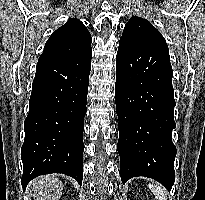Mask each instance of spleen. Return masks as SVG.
Returning a JSON list of instances; mask_svg holds the SVG:
<instances>
[{"instance_id": "spleen-1", "label": "spleen", "mask_w": 205, "mask_h": 200, "mask_svg": "<svg viewBox=\"0 0 205 200\" xmlns=\"http://www.w3.org/2000/svg\"><path fill=\"white\" fill-rule=\"evenodd\" d=\"M148 187L153 192L156 199H158V200H167L166 191H165V188L162 185L157 184V183L155 184V183L151 182V183H149Z\"/></svg>"}]
</instances>
